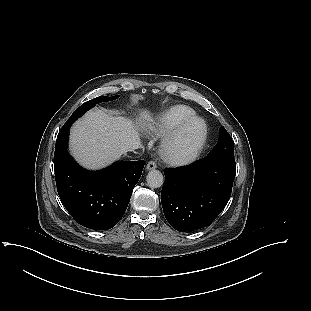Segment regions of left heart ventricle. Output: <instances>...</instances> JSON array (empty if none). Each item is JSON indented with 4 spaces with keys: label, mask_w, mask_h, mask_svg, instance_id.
<instances>
[{
    "label": "left heart ventricle",
    "mask_w": 311,
    "mask_h": 311,
    "mask_svg": "<svg viewBox=\"0 0 311 311\" xmlns=\"http://www.w3.org/2000/svg\"><path fill=\"white\" fill-rule=\"evenodd\" d=\"M200 131V124L193 123L175 142L173 150L175 152L183 153L190 150L195 144Z\"/></svg>",
    "instance_id": "obj_1"
}]
</instances>
